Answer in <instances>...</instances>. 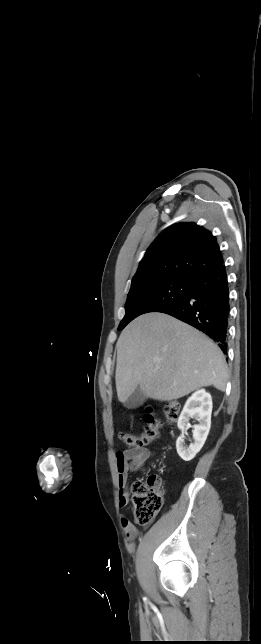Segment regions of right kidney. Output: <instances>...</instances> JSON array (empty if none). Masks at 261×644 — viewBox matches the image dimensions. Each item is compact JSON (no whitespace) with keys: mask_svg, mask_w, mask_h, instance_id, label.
Instances as JSON below:
<instances>
[{"mask_svg":"<svg viewBox=\"0 0 261 644\" xmlns=\"http://www.w3.org/2000/svg\"><path fill=\"white\" fill-rule=\"evenodd\" d=\"M212 398L204 389L197 390L186 401L178 419V428L182 434L176 441L178 455L184 461L192 460L203 447L211 426ZM195 418L199 423L193 426L194 442L184 445V432L190 427L189 419Z\"/></svg>","mask_w":261,"mask_h":644,"instance_id":"1","label":"right kidney"}]
</instances>
